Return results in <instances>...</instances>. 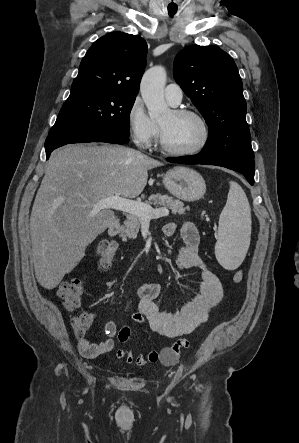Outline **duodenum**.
<instances>
[{
	"instance_id": "410a0bca",
	"label": "duodenum",
	"mask_w": 299,
	"mask_h": 443,
	"mask_svg": "<svg viewBox=\"0 0 299 443\" xmlns=\"http://www.w3.org/2000/svg\"><path fill=\"white\" fill-rule=\"evenodd\" d=\"M120 228H121V222L118 218H115L108 225V233L111 236H115L119 233Z\"/></svg>"
}]
</instances>
